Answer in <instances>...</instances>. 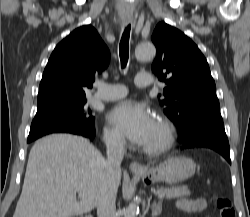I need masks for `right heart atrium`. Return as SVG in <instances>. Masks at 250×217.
I'll use <instances>...</instances> for the list:
<instances>
[{
    "label": "right heart atrium",
    "instance_id": "1",
    "mask_svg": "<svg viewBox=\"0 0 250 217\" xmlns=\"http://www.w3.org/2000/svg\"><path fill=\"white\" fill-rule=\"evenodd\" d=\"M104 140L106 144L110 147L114 148H122L125 145V138L122 135L121 132L118 130L111 128V127H105L103 132Z\"/></svg>",
    "mask_w": 250,
    "mask_h": 217
}]
</instances>
